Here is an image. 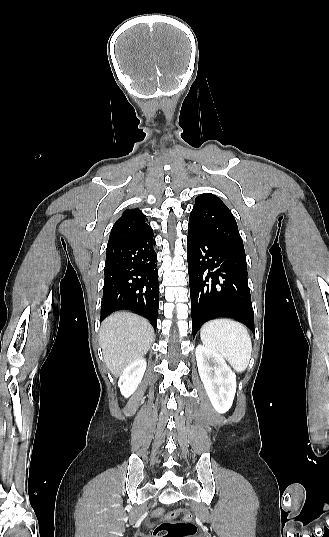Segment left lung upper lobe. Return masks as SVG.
<instances>
[{
	"label": "left lung upper lobe",
	"mask_w": 329,
	"mask_h": 537,
	"mask_svg": "<svg viewBox=\"0 0 329 537\" xmlns=\"http://www.w3.org/2000/svg\"><path fill=\"white\" fill-rule=\"evenodd\" d=\"M189 225L211 240L245 254L235 218L219 197L211 193L198 196Z\"/></svg>",
	"instance_id": "1"
}]
</instances>
